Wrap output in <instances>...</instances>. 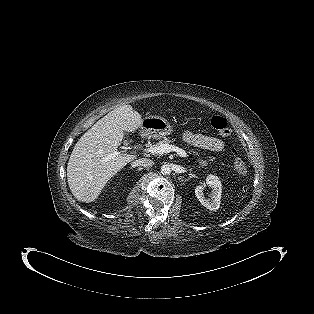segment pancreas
<instances>
[{
  "label": "pancreas",
  "mask_w": 314,
  "mask_h": 314,
  "mask_svg": "<svg viewBox=\"0 0 314 314\" xmlns=\"http://www.w3.org/2000/svg\"><path fill=\"white\" fill-rule=\"evenodd\" d=\"M173 141L170 138L164 137L161 141H159L158 143H156L155 145H150L149 147H154V146H158L161 144H169L172 143ZM192 152V151H191ZM198 162L200 164L201 167L204 166H208L209 165V161L207 160H203L202 158L198 159Z\"/></svg>",
  "instance_id": "cf45deb5"
}]
</instances>
